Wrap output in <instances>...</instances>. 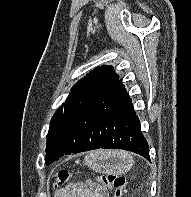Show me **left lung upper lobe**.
<instances>
[{
  "mask_svg": "<svg viewBox=\"0 0 191 197\" xmlns=\"http://www.w3.org/2000/svg\"><path fill=\"white\" fill-rule=\"evenodd\" d=\"M120 83L119 77L113 71L112 66L103 65L90 71L72 87L65 103L51 119L47 134L46 164L73 152L74 149L68 143L64 129L73 119L79 106L90 97L100 96Z\"/></svg>",
  "mask_w": 191,
  "mask_h": 197,
  "instance_id": "5c2ea615",
  "label": "left lung upper lobe"
}]
</instances>
